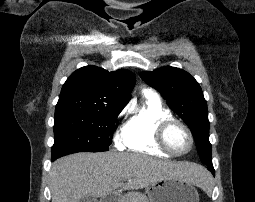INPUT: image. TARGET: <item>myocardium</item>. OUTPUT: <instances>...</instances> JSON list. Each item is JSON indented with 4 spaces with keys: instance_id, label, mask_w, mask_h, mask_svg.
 I'll list each match as a JSON object with an SVG mask.
<instances>
[{
    "instance_id": "1",
    "label": "myocardium",
    "mask_w": 255,
    "mask_h": 202,
    "mask_svg": "<svg viewBox=\"0 0 255 202\" xmlns=\"http://www.w3.org/2000/svg\"><path fill=\"white\" fill-rule=\"evenodd\" d=\"M174 126H180L181 128H183L185 130V132L187 133L189 140H190V146L188 148V150L184 151V152H176L174 151L168 144L167 142V134L169 132V130L174 127ZM156 142L159 145V147L166 153H168L169 155L172 156H183L188 154L189 152H191V150L194 147V136L192 131L190 130V128L182 121L175 119V118H171V119H167L162 121L157 130H156Z\"/></svg>"
}]
</instances>
